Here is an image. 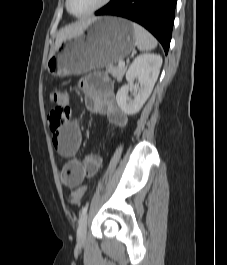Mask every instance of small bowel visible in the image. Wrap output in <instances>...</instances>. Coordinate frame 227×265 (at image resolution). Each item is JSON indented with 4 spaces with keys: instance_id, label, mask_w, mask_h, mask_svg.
Returning <instances> with one entry per match:
<instances>
[{
    "instance_id": "1",
    "label": "small bowel",
    "mask_w": 227,
    "mask_h": 265,
    "mask_svg": "<svg viewBox=\"0 0 227 265\" xmlns=\"http://www.w3.org/2000/svg\"><path fill=\"white\" fill-rule=\"evenodd\" d=\"M88 111L104 115L110 124L123 128L128 123L127 115L118 107L114 90L106 72H89L81 82ZM82 142V133L77 121H71L54 131L52 143L57 153L70 159L65 165L68 174L62 175L63 183L68 187L80 185L86 178L93 177L102 165V157L88 155L83 160L75 158Z\"/></svg>"
}]
</instances>
